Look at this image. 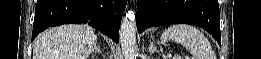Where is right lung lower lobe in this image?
<instances>
[{"instance_id": "1", "label": "right lung lower lobe", "mask_w": 261, "mask_h": 59, "mask_svg": "<svg viewBox=\"0 0 261 59\" xmlns=\"http://www.w3.org/2000/svg\"><path fill=\"white\" fill-rule=\"evenodd\" d=\"M126 3L127 0H38L32 41L52 26L87 23L118 43Z\"/></svg>"}]
</instances>
